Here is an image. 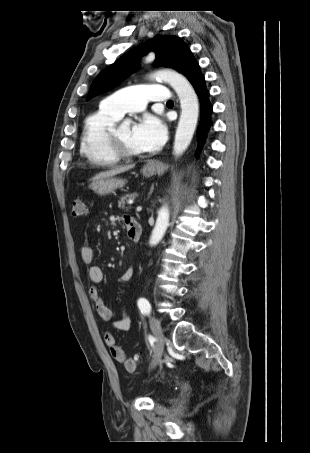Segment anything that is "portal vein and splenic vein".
<instances>
[{"mask_svg": "<svg viewBox=\"0 0 310 453\" xmlns=\"http://www.w3.org/2000/svg\"><path fill=\"white\" fill-rule=\"evenodd\" d=\"M129 204H133V201L130 200V201H129ZM136 210H137V211H141V210H142V207H141V206H138V207L136 208Z\"/></svg>", "mask_w": 310, "mask_h": 453, "instance_id": "1", "label": "portal vein and splenic vein"}]
</instances>
